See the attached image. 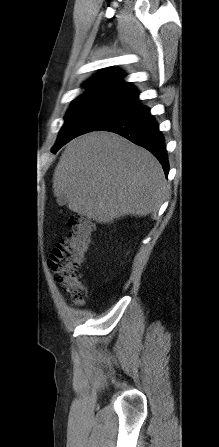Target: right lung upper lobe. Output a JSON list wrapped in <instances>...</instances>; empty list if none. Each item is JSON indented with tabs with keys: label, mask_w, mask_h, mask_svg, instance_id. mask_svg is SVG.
Here are the masks:
<instances>
[{
	"label": "right lung upper lobe",
	"mask_w": 219,
	"mask_h": 447,
	"mask_svg": "<svg viewBox=\"0 0 219 447\" xmlns=\"http://www.w3.org/2000/svg\"><path fill=\"white\" fill-rule=\"evenodd\" d=\"M123 77L124 75L119 71L108 70L93 78L85 86H90L91 88H109L138 98L139 92L130 83L123 81Z\"/></svg>",
	"instance_id": "obj_1"
}]
</instances>
